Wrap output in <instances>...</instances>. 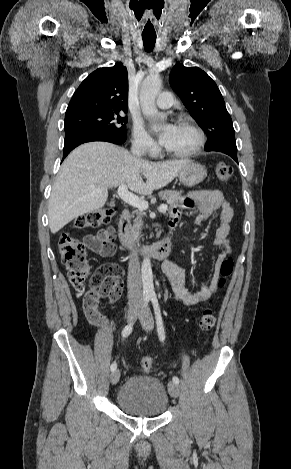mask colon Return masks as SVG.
<instances>
[{
  "mask_svg": "<svg viewBox=\"0 0 291 469\" xmlns=\"http://www.w3.org/2000/svg\"><path fill=\"white\" fill-rule=\"evenodd\" d=\"M233 173L232 167L226 162H219L215 166V175L219 181H227ZM113 209L106 208L89 212L80 216L75 221V228L86 230L97 228L107 224L112 216ZM90 241L78 240L70 233H64L59 240V252L63 265L68 271L70 283L77 291H85L83 298V310L88 321L94 325H102L105 320L99 311V303L102 297H108L111 301L120 293L122 282L120 277L123 270L117 264L109 263L100 266L92 275L91 267L87 259L86 247ZM113 253L115 246L113 243L109 247ZM233 260L231 257L224 259L220 266L219 286L225 284L226 278L233 271ZM88 287L86 289V282ZM216 323V317L210 307H205L199 318V327L203 331L211 330ZM141 370L149 373L153 367V361L146 356L141 359Z\"/></svg>",
  "mask_w": 291,
  "mask_h": 469,
  "instance_id": "1",
  "label": "colon"
}]
</instances>
